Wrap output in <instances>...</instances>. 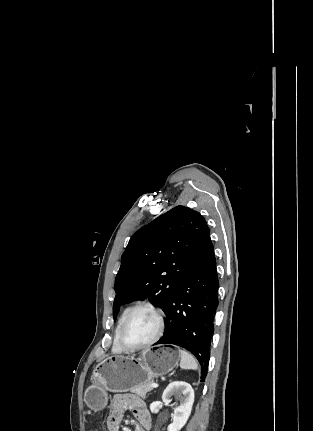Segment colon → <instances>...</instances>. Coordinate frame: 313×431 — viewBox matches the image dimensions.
Listing matches in <instances>:
<instances>
[{
  "instance_id": "colon-1",
  "label": "colon",
  "mask_w": 313,
  "mask_h": 431,
  "mask_svg": "<svg viewBox=\"0 0 313 431\" xmlns=\"http://www.w3.org/2000/svg\"><path fill=\"white\" fill-rule=\"evenodd\" d=\"M89 431H99V430H97V429H90Z\"/></svg>"
}]
</instances>
